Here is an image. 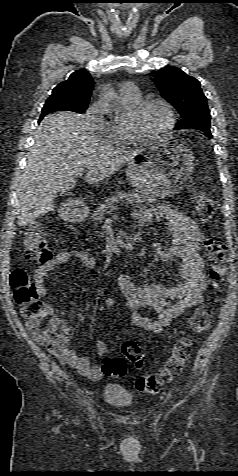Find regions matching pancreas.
Wrapping results in <instances>:
<instances>
[{
    "instance_id": "pancreas-1",
    "label": "pancreas",
    "mask_w": 238,
    "mask_h": 476,
    "mask_svg": "<svg viewBox=\"0 0 238 476\" xmlns=\"http://www.w3.org/2000/svg\"><path fill=\"white\" fill-rule=\"evenodd\" d=\"M153 201L150 198H147L139 193L131 192H116L111 198L106 199L101 203L92 215V220L96 224L102 223L103 219L107 215H110L112 212L118 210V205L128 207L129 205L133 206H143L152 203Z\"/></svg>"
}]
</instances>
